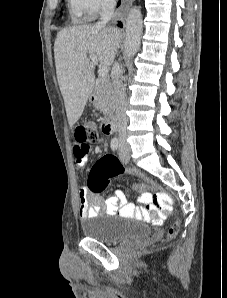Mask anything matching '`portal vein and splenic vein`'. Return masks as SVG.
Instances as JSON below:
<instances>
[{
  "instance_id": "1",
  "label": "portal vein and splenic vein",
  "mask_w": 227,
  "mask_h": 298,
  "mask_svg": "<svg viewBox=\"0 0 227 298\" xmlns=\"http://www.w3.org/2000/svg\"><path fill=\"white\" fill-rule=\"evenodd\" d=\"M89 58L93 63H98V58L95 55L90 54ZM108 72V67H100L98 70V74L102 79H105L107 77Z\"/></svg>"
}]
</instances>
